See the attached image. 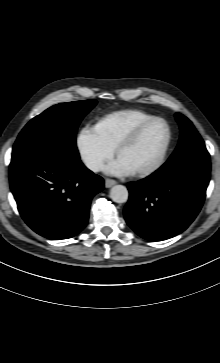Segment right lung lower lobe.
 <instances>
[{
    "instance_id": "obj_1",
    "label": "right lung lower lobe",
    "mask_w": 220,
    "mask_h": 363,
    "mask_svg": "<svg viewBox=\"0 0 220 363\" xmlns=\"http://www.w3.org/2000/svg\"><path fill=\"white\" fill-rule=\"evenodd\" d=\"M10 186L28 226L55 240L71 238L86 226L91 199L104 181L80 159L42 150L11 161Z\"/></svg>"
}]
</instances>
